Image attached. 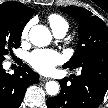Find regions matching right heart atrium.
Masks as SVG:
<instances>
[{"label": "right heart atrium", "mask_w": 108, "mask_h": 108, "mask_svg": "<svg viewBox=\"0 0 108 108\" xmlns=\"http://www.w3.org/2000/svg\"><path fill=\"white\" fill-rule=\"evenodd\" d=\"M30 27H31V24L28 23L22 30V39H26L28 37V33H29V30H30Z\"/></svg>", "instance_id": "right-heart-atrium-1"}]
</instances>
